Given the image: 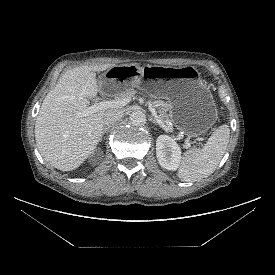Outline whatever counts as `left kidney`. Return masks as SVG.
Listing matches in <instances>:
<instances>
[{
    "label": "left kidney",
    "instance_id": "1",
    "mask_svg": "<svg viewBox=\"0 0 275 275\" xmlns=\"http://www.w3.org/2000/svg\"><path fill=\"white\" fill-rule=\"evenodd\" d=\"M156 156L163 168L175 171L180 164L181 149L171 137L160 135L156 140Z\"/></svg>",
    "mask_w": 275,
    "mask_h": 275
}]
</instances>
